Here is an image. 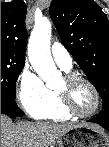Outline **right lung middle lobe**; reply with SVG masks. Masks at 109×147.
Returning <instances> with one entry per match:
<instances>
[{"instance_id": "1", "label": "right lung middle lobe", "mask_w": 109, "mask_h": 147, "mask_svg": "<svg viewBox=\"0 0 109 147\" xmlns=\"http://www.w3.org/2000/svg\"><path fill=\"white\" fill-rule=\"evenodd\" d=\"M23 66L24 58L1 50V96L15 106L16 82Z\"/></svg>"}]
</instances>
